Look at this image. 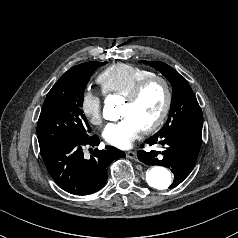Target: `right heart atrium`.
I'll list each match as a JSON object with an SVG mask.
<instances>
[{
  "label": "right heart atrium",
  "mask_w": 238,
  "mask_h": 238,
  "mask_svg": "<svg viewBox=\"0 0 238 238\" xmlns=\"http://www.w3.org/2000/svg\"><path fill=\"white\" fill-rule=\"evenodd\" d=\"M81 108L91 123L101 124L103 119V94L93 90L85 91L81 99Z\"/></svg>",
  "instance_id": "obj_1"
}]
</instances>
